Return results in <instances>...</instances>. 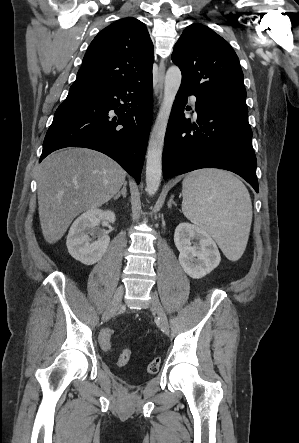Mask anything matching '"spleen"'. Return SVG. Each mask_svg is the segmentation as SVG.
Segmentation results:
<instances>
[{"label":"spleen","instance_id":"spleen-1","mask_svg":"<svg viewBox=\"0 0 299 443\" xmlns=\"http://www.w3.org/2000/svg\"><path fill=\"white\" fill-rule=\"evenodd\" d=\"M182 195L185 217L207 231L229 260H238L252 221L251 198L244 184L226 171L200 170L185 177Z\"/></svg>","mask_w":299,"mask_h":443}]
</instances>
